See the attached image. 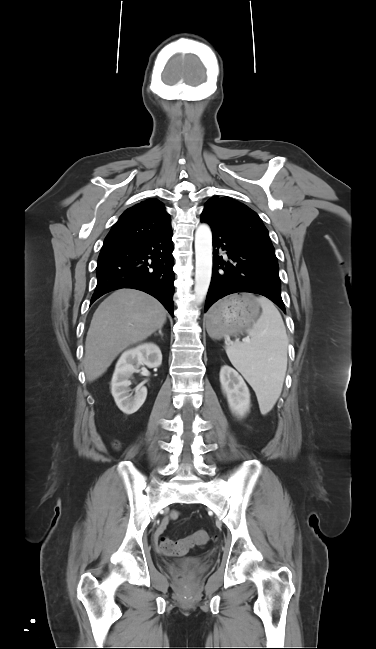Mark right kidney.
<instances>
[{"instance_id": "1", "label": "right kidney", "mask_w": 376, "mask_h": 649, "mask_svg": "<svg viewBox=\"0 0 376 649\" xmlns=\"http://www.w3.org/2000/svg\"><path fill=\"white\" fill-rule=\"evenodd\" d=\"M162 363V353L154 343H143L125 351L119 358L111 381V392L118 408L125 414L135 413L144 403L147 388L138 385L135 395L129 394L130 378L140 365L157 368Z\"/></svg>"}]
</instances>
